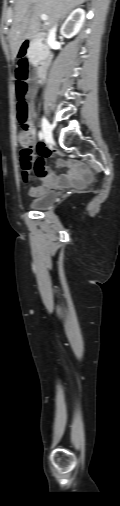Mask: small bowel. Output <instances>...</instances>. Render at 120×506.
Segmentation results:
<instances>
[{
	"label": "small bowel",
	"instance_id": "obj_1",
	"mask_svg": "<svg viewBox=\"0 0 120 506\" xmlns=\"http://www.w3.org/2000/svg\"><path fill=\"white\" fill-rule=\"evenodd\" d=\"M31 131L35 137L36 130L33 126ZM37 148L38 157H31L27 162L20 159L23 182L28 184L32 173L42 181L41 185H30L29 194L31 196H40L52 187H81L91 179V173L81 163L60 162V166L66 168L68 174L60 177L54 175L45 162L50 151L42 142L38 144Z\"/></svg>",
	"mask_w": 120,
	"mask_h": 506
}]
</instances>
